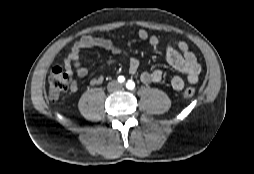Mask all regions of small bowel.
I'll return each instance as SVG.
<instances>
[{
    "label": "small bowel",
    "instance_id": "1",
    "mask_svg": "<svg viewBox=\"0 0 254 174\" xmlns=\"http://www.w3.org/2000/svg\"><path fill=\"white\" fill-rule=\"evenodd\" d=\"M138 37L141 40H148L152 46L159 44V39L155 35H149V33L141 29L138 32ZM102 47L117 54L120 50L108 39L94 37L91 35H83L77 40L71 47L69 54L63 61L64 69L70 74L74 73L79 78H84L88 75V69L82 65L80 61V52L83 49ZM164 57L167 63L175 70L183 73L185 78L175 76L171 80V87L176 90H182L187 84L194 85L198 82L201 74V66L197 62V59L193 52L189 49V46L184 41H179L176 45H169L166 47ZM128 70L130 74H136L139 70V60L134 57L129 58ZM163 71L156 69L153 71H143L140 74V79L145 84L158 83L163 79ZM104 81L103 76H95L90 80V85L98 86ZM78 84L75 80L71 81L70 90L72 92L77 91Z\"/></svg>",
    "mask_w": 254,
    "mask_h": 174
}]
</instances>
